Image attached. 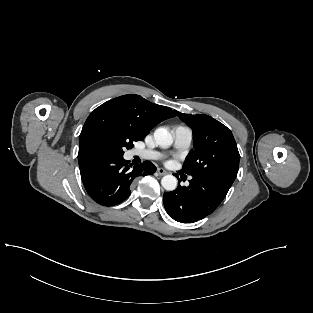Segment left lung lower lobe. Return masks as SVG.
I'll list each match as a JSON object with an SVG mask.
<instances>
[{
	"instance_id": "0a47b994",
	"label": "left lung lower lobe",
	"mask_w": 313,
	"mask_h": 313,
	"mask_svg": "<svg viewBox=\"0 0 313 313\" xmlns=\"http://www.w3.org/2000/svg\"><path fill=\"white\" fill-rule=\"evenodd\" d=\"M188 187L163 195L168 215L182 223H193L211 214L225 198L230 184L213 178L193 177Z\"/></svg>"
}]
</instances>
